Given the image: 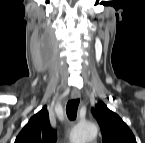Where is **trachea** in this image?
<instances>
[{"label": "trachea", "instance_id": "3493384b", "mask_svg": "<svg viewBox=\"0 0 145 143\" xmlns=\"http://www.w3.org/2000/svg\"><path fill=\"white\" fill-rule=\"evenodd\" d=\"M78 105H79V99H73L67 103L66 113L70 120L76 119Z\"/></svg>", "mask_w": 145, "mask_h": 143}]
</instances>
